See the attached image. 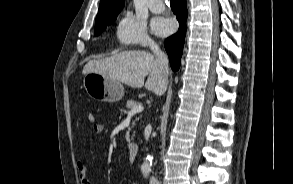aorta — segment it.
<instances>
[{"label":"aorta","mask_w":293,"mask_h":184,"mask_svg":"<svg viewBox=\"0 0 293 184\" xmlns=\"http://www.w3.org/2000/svg\"><path fill=\"white\" fill-rule=\"evenodd\" d=\"M152 161L153 156L148 155L141 166V172L145 177H147L151 171Z\"/></svg>","instance_id":"aorta-1"}]
</instances>
